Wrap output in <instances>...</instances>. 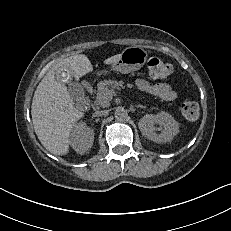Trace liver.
<instances>
[{
    "mask_svg": "<svg viewBox=\"0 0 231 231\" xmlns=\"http://www.w3.org/2000/svg\"><path fill=\"white\" fill-rule=\"evenodd\" d=\"M120 55L105 59L104 64L115 63ZM62 68H67L77 80L93 70L86 55L74 54L55 64L37 86L31 106L34 130L41 144L55 155L69 152L75 123L84 115L74 107L67 87L55 77Z\"/></svg>",
    "mask_w": 231,
    "mask_h": 231,
    "instance_id": "6515ba94",
    "label": "liver"
}]
</instances>
